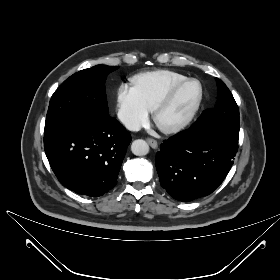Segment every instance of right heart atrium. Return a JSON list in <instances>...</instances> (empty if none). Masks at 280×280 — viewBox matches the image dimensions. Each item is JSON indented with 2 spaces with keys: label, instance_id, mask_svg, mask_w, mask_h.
<instances>
[{
  "label": "right heart atrium",
  "instance_id": "obj_1",
  "mask_svg": "<svg viewBox=\"0 0 280 280\" xmlns=\"http://www.w3.org/2000/svg\"><path fill=\"white\" fill-rule=\"evenodd\" d=\"M117 108L120 121L130 130L144 126L150 110L144 105L133 86L120 84L117 90Z\"/></svg>",
  "mask_w": 280,
  "mask_h": 280
}]
</instances>
